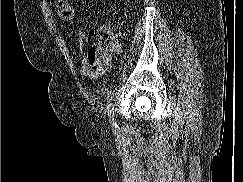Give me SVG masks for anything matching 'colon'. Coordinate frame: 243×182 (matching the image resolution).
<instances>
[{"instance_id": "1", "label": "colon", "mask_w": 243, "mask_h": 182, "mask_svg": "<svg viewBox=\"0 0 243 182\" xmlns=\"http://www.w3.org/2000/svg\"><path fill=\"white\" fill-rule=\"evenodd\" d=\"M58 16L63 20H71L74 16V9L69 0H59L55 5ZM95 38V45L91 48L93 55L100 58L111 59L116 53V43L112 33L104 27L92 32Z\"/></svg>"}]
</instances>
